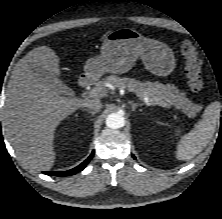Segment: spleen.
<instances>
[{
    "label": "spleen",
    "instance_id": "spleen-1",
    "mask_svg": "<svg viewBox=\"0 0 222 219\" xmlns=\"http://www.w3.org/2000/svg\"><path fill=\"white\" fill-rule=\"evenodd\" d=\"M221 107L222 105L218 101L212 102L206 107L198 125L181 138L177 146V159H192L207 146L219 122Z\"/></svg>",
    "mask_w": 222,
    "mask_h": 219
}]
</instances>
